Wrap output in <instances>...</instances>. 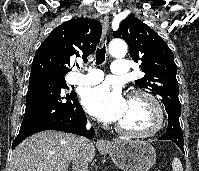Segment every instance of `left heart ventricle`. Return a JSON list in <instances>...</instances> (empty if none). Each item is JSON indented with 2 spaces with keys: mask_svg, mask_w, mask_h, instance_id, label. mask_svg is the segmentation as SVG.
<instances>
[{
  "mask_svg": "<svg viewBox=\"0 0 199 171\" xmlns=\"http://www.w3.org/2000/svg\"><path fill=\"white\" fill-rule=\"evenodd\" d=\"M153 113L148 102L141 97L128 99L123 116L117 124L129 130H145L153 124Z\"/></svg>",
  "mask_w": 199,
  "mask_h": 171,
  "instance_id": "b2bd125f",
  "label": "left heart ventricle"
}]
</instances>
